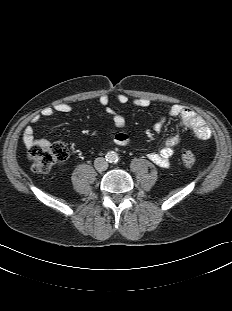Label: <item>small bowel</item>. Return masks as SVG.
Returning <instances> with one entry per match:
<instances>
[{
  "label": "small bowel",
  "instance_id": "obj_1",
  "mask_svg": "<svg viewBox=\"0 0 232 311\" xmlns=\"http://www.w3.org/2000/svg\"><path fill=\"white\" fill-rule=\"evenodd\" d=\"M109 101L110 100L107 95H102L99 98V104L103 107L108 106ZM116 101L122 105L130 102L129 97L125 94H119L116 97ZM132 103L137 107H147L150 101L146 98H138L133 100ZM71 111L72 106L70 104L64 102L56 103L53 106L43 108L40 115H36L32 118V123H39L41 117L50 118L55 113H70ZM107 113L112 116L113 125L115 127L121 128L124 126L125 119L122 115L112 109H107ZM167 115L170 117L179 118L181 124L190 130L194 137L199 141L204 142L211 137L210 127L207 125L205 120L194 110L181 105H173L168 109ZM165 122V117L158 119L153 126V130L157 133L160 132L163 129ZM22 138L23 143L27 148L50 143V141L45 138H37L35 136L34 128L30 125L25 127ZM110 138L115 144L119 146H127L130 142L128 135L122 132H113L110 130ZM181 139L182 138L180 135H173L169 137L165 141L164 146L159 151L152 152L148 155L149 160L159 167L168 168L170 166L171 157L174 153V148L181 142Z\"/></svg>",
  "mask_w": 232,
  "mask_h": 311
}]
</instances>
